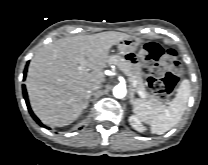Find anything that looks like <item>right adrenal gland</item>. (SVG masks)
I'll list each match as a JSON object with an SVG mask.
<instances>
[{"label": "right adrenal gland", "mask_w": 208, "mask_h": 165, "mask_svg": "<svg viewBox=\"0 0 208 165\" xmlns=\"http://www.w3.org/2000/svg\"><path fill=\"white\" fill-rule=\"evenodd\" d=\"M90 97H91V94H89V95L87 96V100H86V103H85V108H87V106H88V104H89V102H90Z\"/></svg>", "instance_id": "1"}]
</instances>
